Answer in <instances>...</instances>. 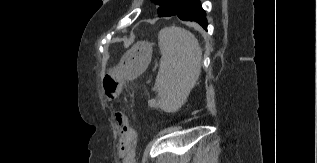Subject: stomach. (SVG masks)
<instances>
[{
  "instance_id": "0dacf381",
  "label": "stomach",
  "mask_w": 317,
  "mask_h": 163,
  "mask_svg": "<svg viewBox=\"0 0 317 163\" xmlns=\"http://www.w3.org/2000/svg\"><path fill=\"white\" fill-rule=\"evenodd\" d=\"M151 56L152 45L144 41L138 42L124 54L119 65L111 72L125 79L135 78L145 71Z\"/></svg>"
}]
</instances>
